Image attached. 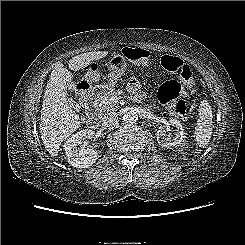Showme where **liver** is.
I'll return each mask as SVG.
<instances>
[{
    "mask_svg": "<svg viewBox=\"0 0 245 245\" xmlns=\"http://www.w3.org/2000/svg\"><path fill=\"white\" fill-rule=\"evenodd\" d=\"M107 54V51L79 54L70 59L69 68L81 70ZM67 89L76 91V83L73 82L72 73L57 62L44 92L39 126L43 144L53 157L58 155L62 141L81 125V119L68 103Z\"/></svg>",
    "mask_w": 245,
    "mask_h": 245,
    "instance_id": "1",
    "label": "liver"
}]
</instances>
